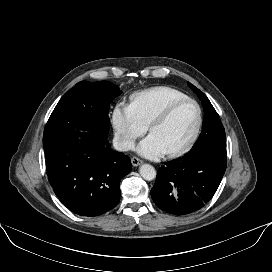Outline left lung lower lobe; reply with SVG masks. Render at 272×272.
Masks as SVG:
<instances>
[{
	"mask_svg": "<svg viewBox=\"0 0 272 272\" xmlns=\"http://www.w3.org/2000/svg\"><path fill=\"white\" fill-rule=\"evenodd\" d=\"M226 166V155L210 150H190L182 158L158 169L151 189L152 199L167 213L196 212L215 194Z\"/></svg>",
	"mask_w": 272,
	"mask_h": 272,
	"instance_id": "left-lung-lower-lobe-1",
	"label": "left lung lower lobe"
}]
</instances>
